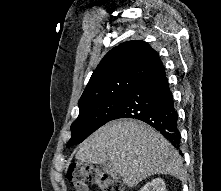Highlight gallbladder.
I'll return each instance as SVG.
<instances>
[{
    "instance_id": "bac80fb5",
    "label": "gallbladder",
    "mask_w": 221,
    "mask_h": 191,
    "mask_svg": "<svg viewBox=\"0 0 221 191\" xmlns=\"http://www.w3.org/2000/svg\"><path fill=\"white\" fill-rule=\"evenodd\" d=\"M101 167L104 172L110 174L113 177H118V174L111 163L106 162V163L102 164Z\"/></svg>"
}]
</instances>
